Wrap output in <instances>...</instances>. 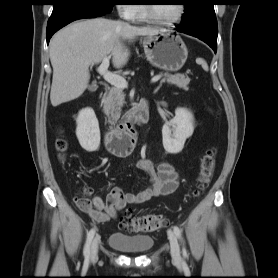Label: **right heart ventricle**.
<instances>
[{
    "instance_id": "1",
    "label": "right heart ventricle",
    "mask_w": 278,
    "mask_h": 278,
    "mask_svg": "<svg viewBox=\"0 0 278 278\" xmlns=\"http://www.w3.org/2000/svg\"><path fill=\"white\" fill-rule=\"evenodd\" d=\"M132 19L138 22H145L148 20L145 12V7L143 5H137L136 12Z\"/></svg>"
}]
</instances>
